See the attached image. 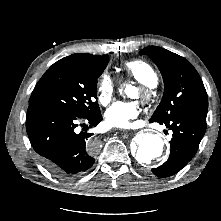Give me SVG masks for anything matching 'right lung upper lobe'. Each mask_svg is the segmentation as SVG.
I'll return each mask as SVG.
<instances>
[{"label":"right lung upper lobe","instance_id":"cb5924a9","mask_svg":"<svg viewBox=\"0 0 221 221\" xmlns=\"http://www.w3.org/2000/svg\"><path fill=\"white\" fill-rule=\"evenodd\" d=\"M105 56V55H104ZM104 56H99V55H92V54H73L71 56H68L67 58H71L74 60H79V61H85V62H92V61H98L101 60Z\"/></svg>","mask_w":221,"mask_h":221}]
</instances>
